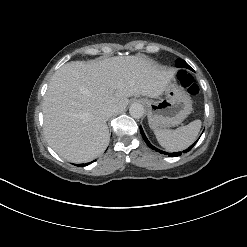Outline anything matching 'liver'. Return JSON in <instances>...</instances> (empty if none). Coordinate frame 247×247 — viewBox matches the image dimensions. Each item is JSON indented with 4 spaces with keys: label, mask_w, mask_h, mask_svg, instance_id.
<instances>
[{
    "label": "liver",
    "mask_w": 247,
    "mask_h": 247,
    "mask_svg": "<svg viewBox=\"0 0 247 247\" xmlns=\"http://www.w3.org/2000/svg\"><path fill=\"white\" fill-rule=\"evenodd\" d=\"M173 78V70L140 56L65 64L52 76L44 96L48 144L73 163L95 159L109 144L102 111L109 107L121 112L132 96L157 98Z\"/></svg>",
    "instance_id": "obj_1"
}]
</instances>
